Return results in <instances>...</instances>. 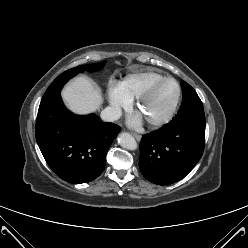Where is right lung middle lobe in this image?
Returning <instances> with one entry per match:
<instances>
[{"label": "right lung middle lobe", "instance_id": "1", "mask_svg": "<svg viewBox=\"0 0 248 248\" xmlns=\"http://www.w3.org/2000/svg\"><path fill=\"white\" fill-rule=\"evenodd\" d=\"M105 63L106 62L103 61L101 63H96V64L81 65V66H77L75 68H72V69H69V70L63 72L50 84V86L46 90V92H45V94L41 100L40 105L54 99L55 97H57L60 94V91H61L63 85L69 79L76 76L78 73H83L85 71H89V72L99 71L100 69H102L104 67Z\"/></svg>", "mask_w": 248, "mask_h": 248}]
</instances>
